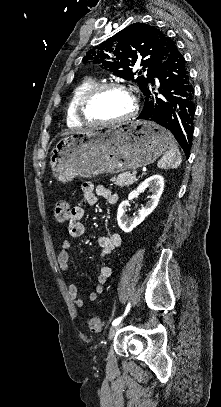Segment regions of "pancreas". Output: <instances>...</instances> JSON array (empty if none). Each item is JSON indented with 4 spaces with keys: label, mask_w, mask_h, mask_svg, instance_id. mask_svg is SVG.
<instances>
[{
    "label": "pancreas",
    "mask_w": 221,
    "mask_h": 407,
    "mask_svg": "<svg viewBox=\"0 0 221 407\" xmlns=\"http://www.w3.org/2000/svg\"><path fill=\"white\" fill-rule=\"evenodd\" d=\"M137 180L136 175H133L130 172H125L111 178V181L120 187L130 186Z\"/></svg>",
    "instance_id": "pancreas-1"
}]
</instances>
